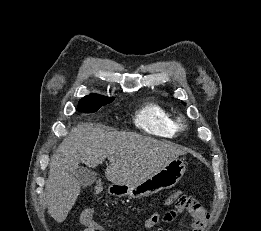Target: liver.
I'll list each match as a JSON object with an SVG mask.
<instances>
[{
  "label": "liver",
  "mask_w": 261,
  "mask_h": 231,
  "mask_svg": "<svg viewBox=\"0 0 261 231\" xmlns=\"http://www.w3.org/2000/svg\"><path fill=\"white\" fill-rule=\"evenodd\" d=\"M186 154L180 146L132 132H107L100 125L73 128L51 157L46 182V203L51 217L63 222L80 194L74 173L79 164L95 168L107 158L108 181L140 182L160 171L170 161Z\"/></svg>",
  "instance_id": "6515ba94"
}]
</instances>
